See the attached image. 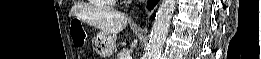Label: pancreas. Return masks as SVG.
<instances>
[{
    "label": "pancreas",
    "mask_w": 261,
    "mask_h": 59,
    "mask_svg": "<svg viewBox=\"0 0 261 59\" xmlns=\"http://www.w3.org/2000/svg\"><path fill=\"white\" fill-rule=\"evenodd\" d=\"M131 52L130 49L128 48H124L123 50H121L118 55H117V59H125L127 55H129Z\"/></svg>",
    "instance_id": "obj_1"
}]
</instances>
